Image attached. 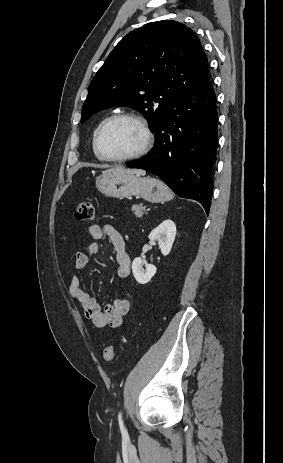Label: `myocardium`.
Returning a JSON list of instances; mask_svg holds the SVG:
<instances>
[{
  "label": "myocardium",
  "instance_id": "1",
  "mask_svg": "<svg viewBox=\"0 0 283 463\" xmlns=\"http://www.w3.org/2000/svg\"><path fill=\"white\" fill-rule=\"evenodd\" d=\"M122 119H128L135 121L141 128L143 135H144V141L142 146L138 151H136L133 154L127 155V156H122V157H110L106 156L100 146V138L101 134L104 131V129L111 124L114 121L117 120H122ZM154 143V135L151 130V127L148 123V121L140 114L135 113V112H122V113H117L114 114L108 118H106L97 128L95 135H94V149L98 157L104 161L107 162H114V163H123V162H128L132 160L139 159L146 155L150 149L152 148Z\"/></svg>",
  "mask_w": 283,
  "mask_h": 463
}]
</instances>
